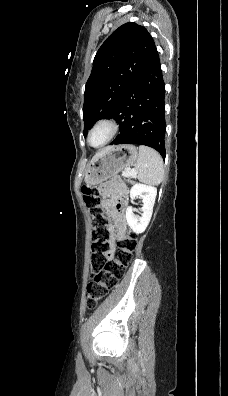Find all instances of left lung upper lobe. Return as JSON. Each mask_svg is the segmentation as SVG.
<instances>
[{
  "label": "left lung upper lobe",
  "instance_id": "5c2ea615",
  "mask_svg": "<svg viewBox=\"0 0 228 396\" xmlns=\"http://www.w3.org/2000/svg\"><path fill=\"white\" fill-rule=\"evenodd\" d=\"M155 43L149 32L134 22L117 28L102 44L85 86L84 136L99 119L113 118L126 92L148 61Z\"/></svg>",
  "mask_w": 228,
  "mask_h": 396
}]
</instances>
